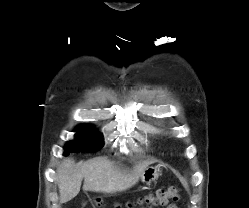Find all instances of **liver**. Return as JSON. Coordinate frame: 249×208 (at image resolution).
<instances>
[{"label": "liver", "mask_w": 249, "mask_h": 208, "mask_svg": "<svg viewBox=\"0 0 249 208\" xmlns=\"http://www.w3.org/2000/svg\"><path fill=\"white\" fill-rule=\"evenodd\" d=\"M150 162L134 166L133 170L121 169L105 158L97 157L82 164L73 159H64L57 168L60 202L66 203L83 190L114 194L131 188Z\"/></svg>", "instance_id": "1"}]
</instances>
